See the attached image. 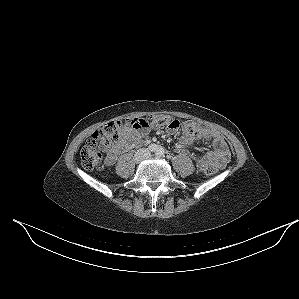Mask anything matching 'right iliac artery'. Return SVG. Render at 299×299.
I'll list each match as a JSON object with an SVG mask.
<instances>
[{
	"label": "right iliac artery",
	"instance_id": "right-iliac-artery-1",
	"mask_svg": "<svg viewBox=\"0 0 299 299\" xmlns=\"http://www.w3.org/2000/svg\"><path fill=\"white\" fill-rule=\"evenodd\" d=\"M158 149H159V147L156 144H151L149 146V150L152 152H157Z\"/></svg>",
	"mask_w": 299,
	"mask_h": 299
}]
</instances>
